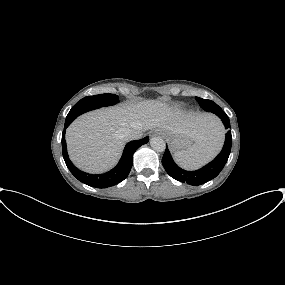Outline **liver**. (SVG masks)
I'll return each instance as SVG.
<instances>
[{"label":"liver","instance_id":"obj_1","mask_svg":"<svg viewBox=\"0 0 285 285\" xmlns=\"http://www.w3.org/2000/svg\"><path fill=\"white\" fill-rule=\"evenodd\" d=\"M220 128V122L210 114L182 115L165 103L145 100L80 116L67 128L66 141L70 158L78 168L101 173L118 162L128 129H158L203 142Z\"/></svg>","mask_w":285,"mask_h":285}]
</instances>
